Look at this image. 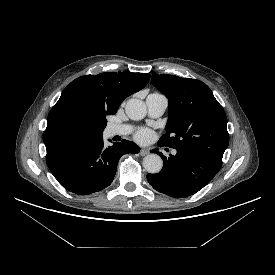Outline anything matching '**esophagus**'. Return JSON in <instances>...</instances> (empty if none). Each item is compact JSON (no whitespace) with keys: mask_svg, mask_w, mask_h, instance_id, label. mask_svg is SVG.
Segmentation results:
<instances>
[{"mask_svg":"<svg viewBox=\"0 0 275 275\" xmlns=\"http://www.w3.org/2000/svg\"><path fill=\"white\" fill-rule=\"evenodd\" d=\"M147 154H149V151L147 149H141L140 150V155L141 156H146Z\"/></svg>","mask_w":275,"mask_h":275,"instance_id":"34e87169","label":"esophagus"}]
</instances>
